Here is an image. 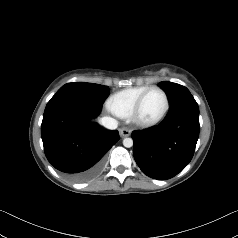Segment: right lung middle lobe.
<instances>
[{
    "label": "right lung middle lobe",
    "mask_w": 238,
    "mask_h": 238,
    "mask_svg": "<svg viewBox=\"0 0 238 238\" xmlns=\"http://www.w3.org/2000/svg\"><path fill=\"white\" fill-rule=\"evenodd\" d=\"M57 93H75L91 101L102 103L109 94V88L99 84L77 82L65 84Z\"/></svg>",
    "instance_id": "obj_1"
}]
</instances>
